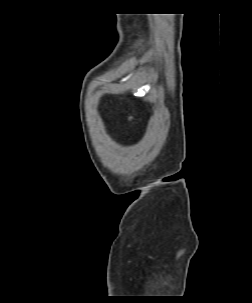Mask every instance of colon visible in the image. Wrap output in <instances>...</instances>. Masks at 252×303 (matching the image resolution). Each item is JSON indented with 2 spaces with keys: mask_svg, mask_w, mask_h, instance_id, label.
Returning a JSON list of instances; mask_svg holds the SVG:
<instances>
[{
  "mask_svg": "<svg viewBox=\"0 0 252 303\" xmlns=\"http://www.w3.org/2000/svg\"><path fill=\"white\" fill-rule=\"evenodd\" d=\"M127 125L125 127L126 131H129L131 129V125H132V121H133V116L132 114L128 115V119H127Z\"/></svg>",
  "mask_w": 252,
  "mask_h": 303,
  "instance_id": "obj_1",
  "label": "colon"
}]
</instances>
